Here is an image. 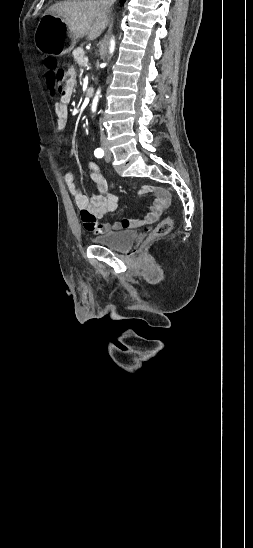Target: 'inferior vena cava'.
<instances>
[{"mask_svg":"<svg viewBox=\"0 0 253 548\" xmlns=\"http://www.w3.org/2000/svg\"><path fill=\"white\" fill-rule=\"evenodd\" d=\"M116 0H99V3L100 5L106 10V12L108 13L110 11V8L112 7V5L114 4ZM100 130H101V140L102 141H105L106 140V136L103 132V126L101 125L100 127Z\"/></svg>","mask_w":253,"mask_h":548,"instance_id":"1","label":"inferior vena cava"}]
</instances>
